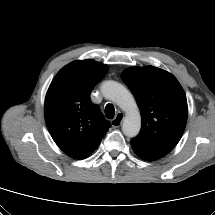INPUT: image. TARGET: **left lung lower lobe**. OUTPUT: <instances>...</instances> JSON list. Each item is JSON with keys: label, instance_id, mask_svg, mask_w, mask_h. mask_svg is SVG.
I'll return each instance as SVG.
<instances>
[{"label": "left lung lower lobe", "instance_id": "left-lung-lower-lobe-1", "mask_svg": "<svg viewBox=\"0 0 215 215\" xmlns=\"http://www.w3.org/2000/svg\"><path fill=\"white\" fill-rule=\"evenodd\" d=\"M134 150V149H133ZM135 152H136V154L140 157V158H142V159H144V160H147V161H154V160H157L156 158H154V157H150V156H147V155H144V154H142L141 152H139L138 150H134Z\"/></svg>", "mask_w": 215, "mask_h": 215}]
</instances>
